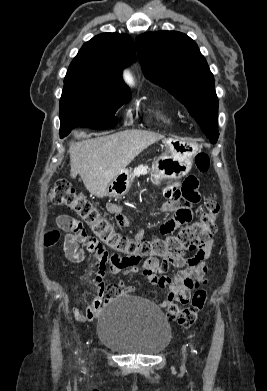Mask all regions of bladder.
<instances>
[{"instance_id": "bladder-1", "label": "bladder", "mask_w": 267, "mask_h": 391, "mask_svg": "<svg viewBox=\"0 0 267 391\" xmlns=\"http://www.w3.org/2000/svg\"><path fill=\"white\" fill-rule=\"evenodd\" d=\"M97 334L105 346L126 354L154 355L171 340V326L164 313L134 297H120L102 311Z\"/></svg>"}]
</instances>
